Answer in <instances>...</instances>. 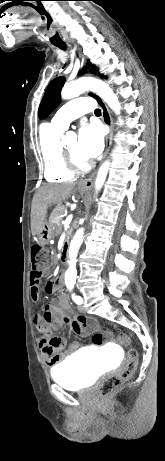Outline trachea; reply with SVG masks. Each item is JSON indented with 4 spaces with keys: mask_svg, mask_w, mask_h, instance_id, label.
<instances>
[{
    "mask_svg": "<svg viewBox=\"0 0 165 461\" xmlns=\"http://www.w3.org/2000/svg\"><path fill=\"white\" fill-rule=\"evenodd\" d=\"M55 46L61 48V49H64L65 48V44L64 43H61V44H55ZM95 114L96 115H100L101 114V110L100 109H96L95 110Z\"/></svg>",
    "mask_w": 165,
    "mask_h": 461,
    "instance_id": "obj_1",
    "label": "trachea"
}]
</instances>
